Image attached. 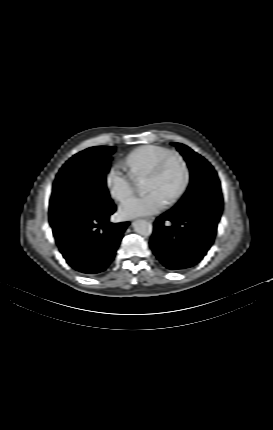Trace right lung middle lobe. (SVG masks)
Returning a JSON list of instances; mask_svg holds the SVG:
<instances>
[{
	"mask_svg": "<svg viewBox=\"0 0 273 430\" xmlns=\"http://www.w3.org/2000/svg\"><path fill=\"white\" fill-rule=\"evenodd\" d=\"M114 151V147H91L63 165L54 182L49 206L53 229L114 206L106 188V174Z\"/></svg>",
	"mask_w": 273,
	"mask_h": 430,
	"instance_id": "dd1d6c3e",
	"label": "right lung middle lobe"
}]
</instances>
